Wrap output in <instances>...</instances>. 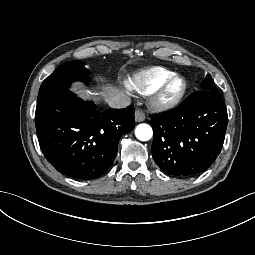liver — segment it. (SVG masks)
<instances>
[{
    "mask_svg": "<svg viewBox=\"0 0 255 255\" xmlns=\"http://www.w3.org/2000/svg\"><path fill=\"white\" fill-rule=\"evenodd\" d=\"M113 92H114V90H113V89H111V90H108V91H107V94H106V96H108V95L112 94Z\"/></svg>",
    "mask_w": 255,
    "mask_h": 255,
    "instance_id": "6515ba94",
    "label": "liver"
}]
</instances>
